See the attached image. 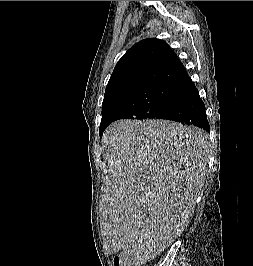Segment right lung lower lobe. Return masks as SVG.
Segmentation results:
<instances>
[{
  "label": "right lung lower lobe",
  "mask_w": 253,
  "mask_h": 266,
  "mask_svg": "<svg viewBox=\"0 0 253 266\" xmlns=\"http://www.w3.org/2000/svg\"><path fill=\"white\" fill-rule=\"evenodd\" d=\"M157 118L195 125L210 131L205 105L188 74L174 83L168 106ZM104 130L100 131V135Z\"/></svg>",
  "instance_id": "98d812e1"
}]
</instances>
